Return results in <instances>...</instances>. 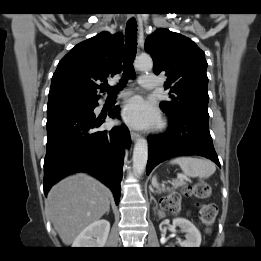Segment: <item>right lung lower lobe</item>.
<instances>
[{
	"label": "right lung lower lobe",
	"instance_id": "1",
	"mask_svg": "<svg viewBox=\"0 0 261 261\" xmlns=\"http://www.w3.org/2000/svg\"><path fill=\"white\" fill-rule=\"evenodd\" d=\"M97 101L87 109L70 108L47 114L45 195L63 177L83 171L108 186L116 204L119 203L123 149L130 145V133L124 125L99 130L104 121L95 118ZM108 116L120 119L119 108H113Z\"/></svg>",
	"mask_w": 261,
	"mask_h": 261
}]
</instances>
